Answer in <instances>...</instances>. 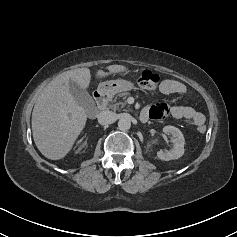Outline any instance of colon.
<instances>
[{
	"label": "colon",
	"instance_id": "5ec220e1",
	"mask_svg": "<svg viewBox=\"0 0 237 237\" xmlns=\"http://www.w3.org/2000/svg\"><path fill=\"white\" fill-rule=\"evenodd\" d=\"M137 83L146 90H153L158 87L160 82V77L158 74L150 71V70H143L141 74L137 78ZM199 132H204L205 127L201 126L198 128Z\"/></svg>",
	"mask_w": 237,
	"mask_h": 237
}]
</instances>
